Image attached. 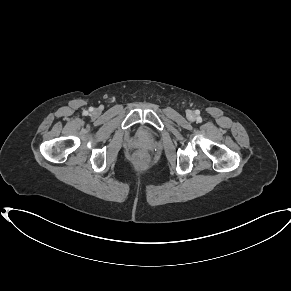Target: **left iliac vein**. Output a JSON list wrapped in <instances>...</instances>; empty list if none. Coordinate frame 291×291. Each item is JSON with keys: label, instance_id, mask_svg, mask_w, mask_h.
Instances as JSON below:
<instances>
[{"label": "left iliac vein", "instance_id": "1", "mask_svg": "<svg viewBox=\"0 0 291 291\" xmlns=\"http://www.w3.org/2000/svg\"><path fill=\"white\" fill-rule=\"evenodd\" d=\"M190 116L192 117L193 116V113H190Z\"/></svg>", "mask_w": 291, "mask_h": 291}]
</instances>
